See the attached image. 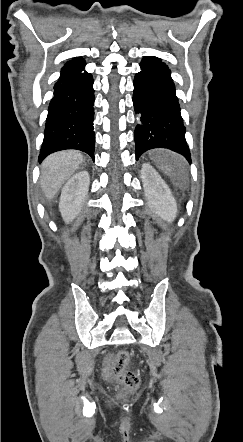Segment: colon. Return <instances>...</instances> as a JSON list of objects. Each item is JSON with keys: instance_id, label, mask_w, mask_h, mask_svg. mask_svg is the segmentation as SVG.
I'll list each match as a JSON object with an SVG mask.
<instances>
[{"instance_id": "1", "label": "colon", "mask_w": 243, "mask_h": 442, "mask_svg": "<svg viewBox=\"0 0 243 442\" xmlns=\"http://www.w3.org/2000/svg\"><path fill=\"white\" fill-rule=\"evenodd\" d=\"M130 359V353L127 350H122L117 354L112 368L115 377L122 384L123 390L126 393L135 392L140 385V379L138 375L128 369Z\"/></svg>"}]
</instances>
